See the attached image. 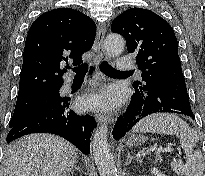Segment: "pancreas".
Masks as SVG:
<instances>
[{
	"label": "pancreas",
	"instance_id": "cf45deb5",
	"mask_svg": "<svg viewBox=\"0 0 205 176\" xmlns=\"http://www.w3.org/2000/svg\"><path fill=\"white\" fill-rule=\"evenodd\" d=\"M163 161V158L161 157V156H159V155H157L156 157H155V163H161Z\"/></svg>",
	"mask_w": 205,
	"mask_h": 176
}]
</instances>
